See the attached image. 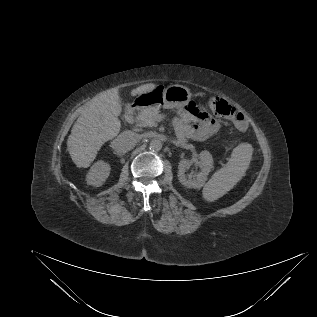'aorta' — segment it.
<instances>
[{
	"instance_id": "obj_1",
	"label": "aorta",
	"mask_w": 317,
	"mask_h": 317,
	"mask_svg": "<svg viewBox=\"0 0 317 317\" xmlns=\"http://www.w3.org/2000/svg\"><path fill=\"white\" fill-rule=\"evenodd\" d=\"M151 151L158 152L162 149V142L159 139H153L149 143Z\"/></svg>"
}]
</instances>
